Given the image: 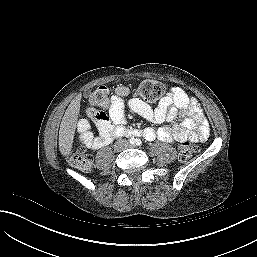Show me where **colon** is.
Listing matches in <instances>:
<instances>
[{"instance_id":"obj_1","label":"colon","mask_w":257,"mask_h":257,"mask_svg":"<svg viewBox=\"0 0 257 257\" xmlns=\"http://www.w3.org/2000/svg\"><path fill=\"white\" fill-rule=\"evenodd\" d=\"M136 91L138 95L147 102H154L160 99L165 87L162 83L157 81L146 80L138 84ZM111 91L106 86L98 87L89 98L90 108L88 115L92 120L98 119L102 112L98 108H105L110 102ZM197 151V146L191 142H185L179 152V158L182 161L188 160ZM69 163L78 169L88 170L91 167V158L88 153L81 148H75L68 157Z\"/></svg>"}]
</instances>
